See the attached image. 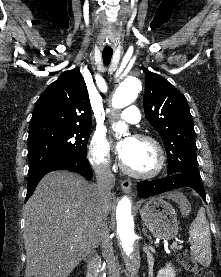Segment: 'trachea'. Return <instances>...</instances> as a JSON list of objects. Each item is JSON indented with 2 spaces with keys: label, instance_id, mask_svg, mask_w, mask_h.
Wrapping results in <instances>:
<instances>
[{
  "label": "trachea",
  "instance_id": "1",
  "mask_svg": "<svg viewBox=\"0 0 221 277\" xmlns=\"http://www.w3.org/2000/svg\"><path fill=\"white\" fill-rule=\"evenodd\" d=\"M113 51H103L102 52V57H103V63L108 66L111 62Z\"/></svg>",
  "mask_w": 221,
  "mask_h": 277
}]
</instances>
